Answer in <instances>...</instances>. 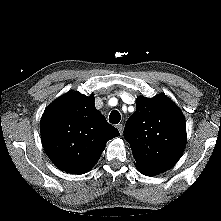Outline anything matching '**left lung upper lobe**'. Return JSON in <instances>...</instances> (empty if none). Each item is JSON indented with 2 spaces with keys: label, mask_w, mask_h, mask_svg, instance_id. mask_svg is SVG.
I'll return each mask as SVG.
<instances>
[{
  "label": "left lung upper lobe",
  "mask_w": 221,
  "mask_h": 221,
  "mask_svg": "<svg viewBox=\"0 0 221 221\" xmlns=\"http://www.w3.org/2000/svg\"><path fill=\"white\" fill-rule=\"evenodd\" d=\"M124 137L131 145L138 170L157 175L180 159L186 143L185 119L165 95L140 97L126 122Z\"/></svg>",
  "instance_id": "5c2ea615"
}]
</instances>
